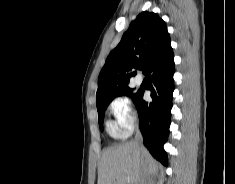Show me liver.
<instances>
[{
	"label": "liver",
	"mask_w": 235,
	"mask_h": 184,
	"mask_svg": "<svg viewBox=\"0 0 235 184\" xmlns=\"http://www.w3.org/2000/svg\"><path fill=\"white\" fill-rule=\"evenodd\" d=\"M157 168V162L146 148H136L133 142H123L102 154L98 184H134L144 172L156 174Z\"/></svg>",
	"instance_id": "6515ba94"
}]
</instances>
